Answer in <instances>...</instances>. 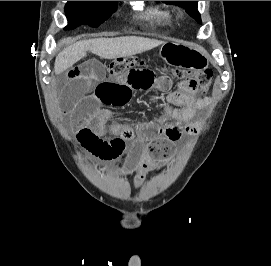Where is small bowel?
Listing matches in <instances>:
<instances>
[{
    "mask_svg": "<svg viewBox=\"0 0 271 266\" xmlns=\"http://www.w3.org/2000/svg\"><path fill=\"white\" fill-rule=\"evenodd\" d=\"M60 70L59 105L68 115L79 143L91 154L105 161L120 157L126 143L132 141L135 151L122 166L126 174L134 175L135 186H140L147 175L160 168L183 134L196 133L198 111L209 102L182 89L166 96L164 115L149 122L131 124L111 120V112L102 106L122 107L134 91L170 90L168 76L158 74L149 64L135 65L118 76H107L102 64L88 60Z\"/></svg>",
    "mask_w": 271,
    "mask_h": 266,
    "instance_id": "c3829d8e",
    "label": "small bowel"
}]
</instances>
